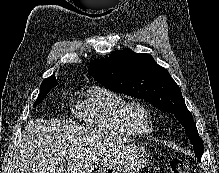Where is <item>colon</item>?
Masks as SVG:
<instances>
[{
    "label": "colon",
    "mask_w": 219,
    "mask_h": 173,
    "mask_svg": "<svg viewBox=\"0 0 219 173\" xmlns=\"http://www.w3.org/2000/svg\"><path fill=\"white\" fill-rule=\"evenodd\" d=\"M170 173H188L189 166L181 158H173L169 161Z\"/></svg>",
    "instance_id": "5ec220e1"
}]
</instances>
